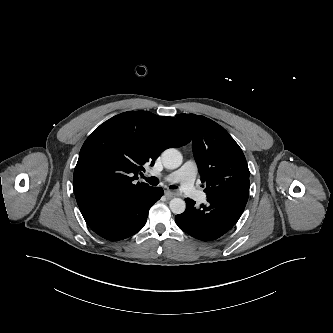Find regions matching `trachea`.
I'll use <instances>...</instances> for the list:
<instances>
[{"label": "trachea", "instance_id": "obj_1", "mask_svg": "<svg viewBox=\"0 0 333 333\" xmlns=\"http://www.w3.org/2000/svg\"><path fill=\"white\" fill-rule=\"evenodd\" d=\"M145 180L153 186H157L159 184V179L157 177H154V176L149 177V178H145ZM170 188L171 189H177L178 187L175 186V185H171Z\"/></svg>", "mask_w": 333, "mask_h": 333}]
</instances>
